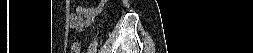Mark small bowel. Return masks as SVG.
Wrapping results in <instances>:
<instances>
[{
  "instance_id": "small-bowel-1",
  "label": "small bowel",
  "mask_w": 253,
  "mask_h": 53,
  "mask_svg": "<svg viewBox=\"0 0 253 53\" xmlns=\"http://www.w3.org/2000/svg\"><path fill=\"white\" fill-rule=\"evenodd\" d=\"M102 5H98L96 7L85 8L79 6L76 8L74 12H71L69 15V23L71 28L76 31L84 30L96 15L101 11Z\"/></svg>"
}]
</instances>
